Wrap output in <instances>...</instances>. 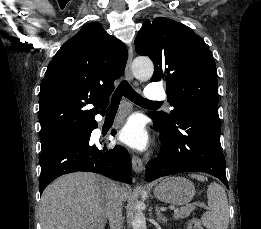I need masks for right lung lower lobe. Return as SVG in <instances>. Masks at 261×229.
<instances>
[{"mask_svg":"<svg viewBox=\"0 0 261 229\" xmlns=\"http://www.w3.org/2000/svg\"><path fill=\"white\" fill-rule=\"evenodd\" d=\"M95 128L97 123L87 131L41 152L40 194L59 176L77 171L94 172L131 184V160L127 150L118 145L107 149L90 143V135ZM115 133L112 130L111 134Z\"/></svg>","mask_w":261,"mask_h":229,"instance_id":"right-lung-lower-lobe-1","label":"right lung lower lobe"}]
</instances>
